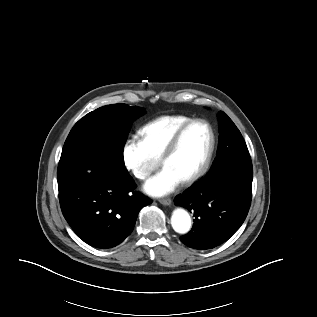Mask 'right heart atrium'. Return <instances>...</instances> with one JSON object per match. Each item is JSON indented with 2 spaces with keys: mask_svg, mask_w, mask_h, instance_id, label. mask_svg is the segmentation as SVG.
Instances as JSON below:
<instances>
[{
  "mask_svg": "<svg viewBox=\"0 0 317 317\" xmlns=\"http://www.w3.org/2000/svg\"><path fill=\"white\" fill-rule=\"evenodd\" d=\"M122 162L124 167L139 180H146L159 164L147 149L142 139L132 137L122 147Z\"/></svg>",
  "mask_w": 317,
  "mask_h": 317,
  "instance_id": "obj_1",
  "label": "right heart atrium"
}]
</instances>
